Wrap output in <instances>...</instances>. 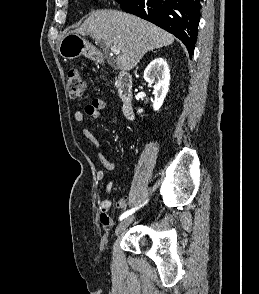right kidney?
Wrapping results in <instances>:
<instances>
[{
    "label": "right kidney",
    "mask_w": 259,
    "mask_h": 294,
    "mask_svg": "<svg viewBox=\"0 0 259 294\" xmlns=\"http://www.w3.org/2000/svg\"><path fill=\"white\" fill-rule=\"evenodd\" d=\"M144 79L149 84H153L155 96L153 108L157 111L161 108L169 90L170 70L167 62L161 57L151 61L144 71Z\"/></svg>",
    "instance_id": "1"
}]
</instances>
